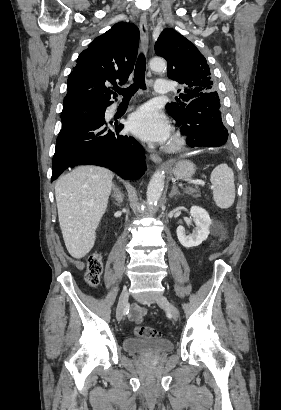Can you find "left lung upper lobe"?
Segmentation results:
<instances>
[{"label":"left lung upper lobe","instance_id":"obj_1","mask_svg":"<svg viewBox=\"0 0 281 410\" xmlns=\"http://www.w3.org/2000/svg\"><path fill=\"white\" fill-rule=\"evenodd\" d=\"M155 53L167 60L168 77L183 85L177 102L167 103L168 113L181 123L191 101L217 97L215 83L205 57L196 46L174 29L166 28L155 43Z\"/></svg>","mask_w":281,"mask_h":410}]
</instances>
